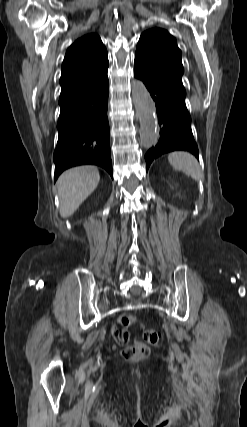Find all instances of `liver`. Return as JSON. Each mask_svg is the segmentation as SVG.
Returning a JSON list of instances; mask_svg holds the SVG:
<instances>
[{
  "label": "liver",
  "mask_w": 247,
  "mask_h": 427,
  "mask_svg": "<svg viewBox=\"0 0 247 427\" xmlns=\"http://www.w3.org/2000/svg\"><path fill=\"white\" fill-rule=\"evenodd\" d=\"M99 180L95 166H79L63 172L57 181L61 217L72 216L96 189Z\"/></svg>",
  "instance_id": "liver-1"
}]
</instances>
